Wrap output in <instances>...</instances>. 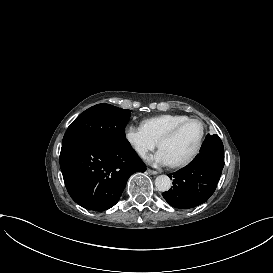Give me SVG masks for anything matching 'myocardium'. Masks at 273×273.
Here are the masks:
<instances>
[{
    "label": "myocardium",
    "instance_id": "obj_1",
    "mask_svg": "<svg viewBox=\"0 0 273 273\" xmlns=\"http://www.w3.org/2000/svg\"><path fill=\"white\" fill-rule=\"evenodd\" d=\"M192 122H198L201 126V134H200V138L198 140V143H197L194 151L192 152V154L188 158H186L183 161L177 162V163H172L173 167L181 168V167L188 166L198 157V155L200 154V152L202 150L205 136H206V124L200 118H197V117L189 118V119L175 125L168 132H166L159 140V146L161 147L164 141L175 137L184 127H186L188 124H190Z\"/></svg>",
    "mask_w": 273,
    "mask_h": 273
}]
</instances>
